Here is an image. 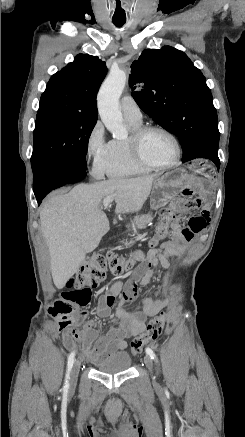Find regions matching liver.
<instances>
[{
  "instance_id": "obj_1",
  "label": "liver",
  "mask_w": 245,
  "mask_h": 437,
  "mask_svg": "<svg viewBox=\"0 0 245 437\" xmlns=\"http://www.w3.org/2000/svg\"><path fill=\"white\" fill-rule=\"evenodd\" d=\"M156 175L115 178L93 184H79L66 194H54L40 211L41 230L46 240L53 282L62 289L109 230L100 208L113 196L116 214L142 209ZM116 220H114V224Z\"/></svg>"
}]
</instances>
